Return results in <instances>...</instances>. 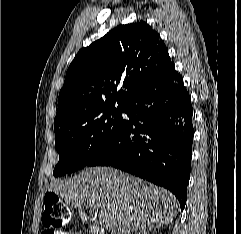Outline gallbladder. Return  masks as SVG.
I'll list each match as a JSON object with an SVG mask.
<instances>
[{
  "label": "gallbladder",
  "instance_id": "obj_1",
  "mask_svg": "<svg viewBox=\"0 0 241 234\" xmlns=\"http://www.w3.org/2000/svg\"><path fill=\"white\" fill-rule=\"evenodd\" d=\"M80 217L82 218L83 221H87V219H88V217L86 216V214L83 211L80 212Z\"/></svg>",
  "mask_w": 241,
  "mask_h": 234
}]
</instances>
